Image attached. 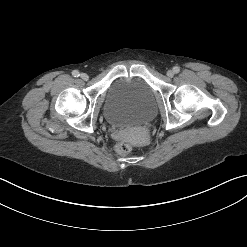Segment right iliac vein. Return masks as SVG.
Returning <instances> with one entry per match:
<instances>
[{
	"instance_id": "right-iliac-vein-1",
	"label": "right iliac vein",
	"mask_w": 247,
	"mask_h": 247,
	"mask_svg": "<svg viewBox=\"0 0 247 247\" xmlns=\"http://www.w3.org/2000/svg\"><path fill=\"white\" fill-rule=\"evenodd\" d=\"M80 77H81L83 80H85V81H87V80L89 79V76H88L86 73H82V74L80 75Z\"/></svg>"
}]
</instances>
